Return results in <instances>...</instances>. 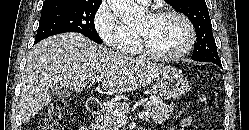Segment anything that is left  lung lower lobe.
<instances>
[{
	"label": "left lung lower lobe",
	"instance_id": "left-lung-lower-lobe-1",
	"mask_svg": "<svg viewBox=\"0 0 249 130\" xmlns=\"http://www.w3.org/2000/svg\"><path fill=\"white\" fill-rule=\"evenodd\" d=\"M213 63L217 64L218 66H220L223 69L221 61H216V62H213Z\"/></svg>",
	"mask_w": 249,
	"mask_h": 130
}]
</instances>
